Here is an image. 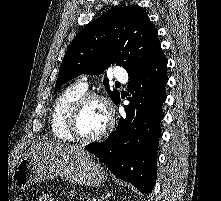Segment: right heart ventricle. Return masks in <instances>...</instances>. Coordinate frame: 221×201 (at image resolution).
I'll list each match as a JSON object with an SVG mask.
<instances>
[{
	"label": "right heart ventricle",
	"instance_id": "e07e8e85",
	"mask_svg": "<svg viewBox=\"0 0 221 201\" xmlns=\"http://www.w3.org/2000/svg\"><path fill=\"white\" fill-rule=\"evenodd\" d=\"M86 92L79 84L65 89L57 98L51 114V130L55 137L63 141H73L67 127L72 106Z\"/></svg>",
	"mask_w": 221,
	"mask_h": 201
}]
</instances>
